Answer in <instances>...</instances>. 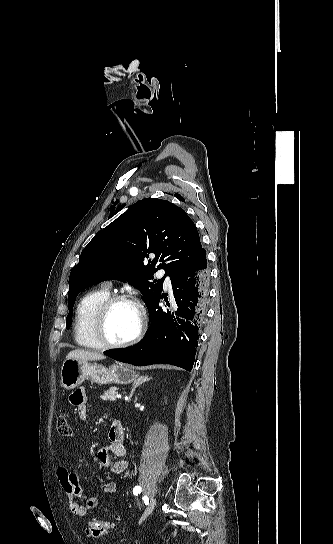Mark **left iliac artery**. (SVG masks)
Instances as JSON below:
<instances>
[{
    "label": "left iliac artery",
    "instance_id": "obj_1",
    "mask_svg": "<svg viewBox=\"0 0 333 544\" xmlns=\"http://www.w3.org/2000/svg\"><path fill=\"white\" fill-rule=\"evenodd\" d=\"M142 488L140 486H135L133 489L134 495H138L141 493Z\"/></svg>",
    "mask_w": 333,
    "mask_h": 544
}]
</instances>
